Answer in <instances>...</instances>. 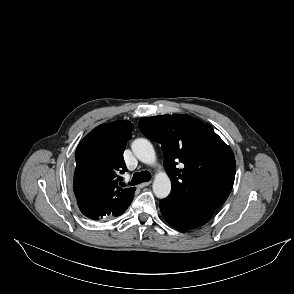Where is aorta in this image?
<instances>
[{"label": "aorta", "mask_w": 294, "mask_h": 294, "mask_svg": "<svg viewBox=\"0 0 294 294\" xmlns=\"http://www.w3.org/2000/svg\"><path fill=\"white\" fill-rule=\"evenodd\" d=\"M132 151L143 163L153 165L156 154L152 144L144 138H138L132 143ZM153 192L157 198H166L171 192V181L166 173H158L153 182Z\"/></svg>", "instance_id": "1"}]
</instances>
